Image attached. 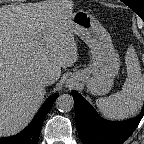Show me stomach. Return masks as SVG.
<instances>
[{"label": "stomach", "mask_w": 144, "mask_h": 144, "mask_svg": "<svg viewBox=\"0 0 144 144\" xmlns=\"http://www.w3.org/2000/svg\"><path fill=\"white\" fill-rule=\"evenodd\" d=\"M73 32L91 49L92 64L72 74L70 82L84 83L94 95L107 94L120 68V58L111 37L100 22L89 12L72 13Z\"/></svg>", "instance_id": "stomach-1"}]
</instances>
